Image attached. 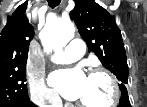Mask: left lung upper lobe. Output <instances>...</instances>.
I'll use <instances>...</instances> for the list:
<instances>
[{"mask_svg": "<svg viewBox=\"0 0 147 107\" xmlns=\"http://www.w3.org/2000/svg\"><path fill=\"white\" fill-rule=\"evenodd\" d=\"M70 17L75 20L88 50L120 81L121 94L127 93L128 65L121 31L115 18L94 0H74Z\"/></svg>", "mask_w": 147, "mask_h": 107, "instance_id": "obj_1", "label": "left lung upper lobe"}]
</instances>
